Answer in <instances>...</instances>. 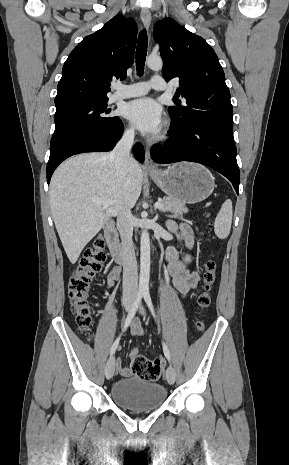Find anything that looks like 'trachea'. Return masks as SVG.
Returning a JSON list of instances; mask_svg holds the SVG:
<instances>
[{
    "instance_id": "trachea-1",
    "label": "trachea",
    "mask_w": 289,
    "mask_h": 465,
    "mask_svg": "<svg viewBox=\"0 0 289 465\" xmlns=\"http://www.w3.org/2000/svg\"><path fill=\"white\" fill-rule=\"evenodd\" d=\"M148 38L146 30H142L138 36L136 49V69L137 74L141 76L144 72L145 59L147 55Z\"/></svg>"
}]
</instances>
